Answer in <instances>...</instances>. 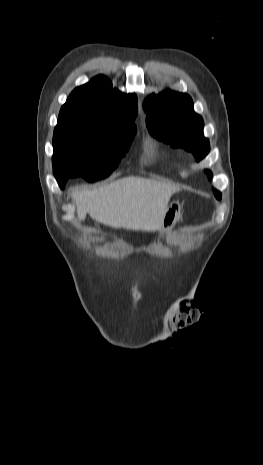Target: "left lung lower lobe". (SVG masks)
<instances>
[{
  "label": "left lung lower lobe",
  "mask_w": 263,
  "mask_h": 465,
  "mask_svg": "<svg viewBox=\"0 0 263 465\" xmlns=\"http://www.w3.org/2000/svg\"><path fill=\"white\" fill-rule=\"evenodd\" d=\"M206 172H207L208 174H211V172H210V171H206Z\"/></svg>",
  "instance_id": "left-lung-lower-lobe-1"
}]
</instances>
